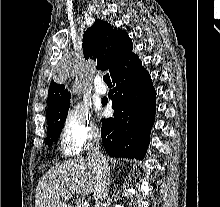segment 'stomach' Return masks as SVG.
I'll return each instance as SVG.
<instances>
[{
    "mask_svg": "<svg viewBox=\"0 0 220 207\" xmlns=\"http://www.w3.org/2000/svg\"><path fill=\"white\" fill-rule=\"evenodd\" d=\"M63 207H70V206L65 205V206H63Z\"/></svg>",
    "mask_w": 220,
    "mask_h": 207,
    "instance_id": "1",
    "label": "stomach"
}]
</instances>
